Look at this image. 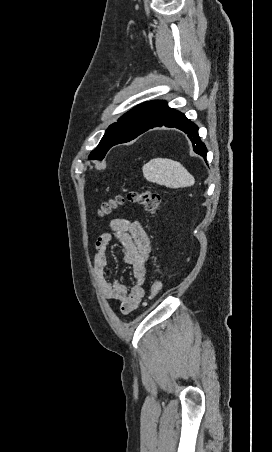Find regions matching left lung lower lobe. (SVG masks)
<instances>
[{
    "label": "left lung lower lobe",
    "mask_w": 272,
    "mask_h": 452,
    "mask_svg": "<svg viewBox=\"0 0 272 452\" xmlns=\"http://www.w3.org/2000/svg\"><path fill=\"white\" fill-rule=\"evenodd\" d=\"M171 127L177 128L183 132H185L190 138L193 144V150L195 153L201 155L204 159H206L207 149L205 144L200 140L198 135V127L192 123L189 119L185 117V115L175 109H172L166 105L163 110L159 113L157 118L154 120L152 125L147 128L145 131L155 128V127ZM144 131V132H145ZM142 132V133H144ZM140 133V134H142ZM138 134L137 136H139ZM137 136H133L132 138H123L121 140H117L114 145L119 143H125L132 139H135ZM113 145V146H114Z\"/></svg>",
    "instance_id": "0a47b994"
}]
</instances>
